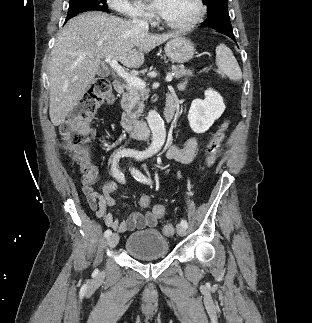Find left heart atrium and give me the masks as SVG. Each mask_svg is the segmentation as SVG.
<instances>
[{
	"label": "left heart atrium",
	"instance_id": "obj_1",
	"mask_svg": "<svg viewBox=\"0 0 312 323\" xmlns=\"http://www.w3.org/2000/svg\"><path fill=\"white\" fill-rule=\"evenodd\" d=\"M147 7L148 8H159L160 7V2L157 1V0H148Z\"/></svg>",
	"mask_w": 312,
	"mask_h": 323
}]
</instances>
